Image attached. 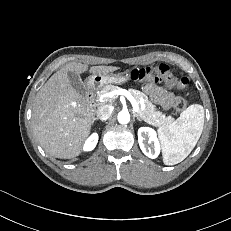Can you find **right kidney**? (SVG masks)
<instances>
[{
  "label": "right kidney",
  "instance_id": "obj_1",
  "mask_svg": "<svg viewBox=\"0 0 231 231\" xmlns=\"http://www.w3.org/2000/svg\"><path fill=\"white\" fill-rule=\"evenodd\" d=\"M98 142V134L93 133L84 143L83 150L84 151H91L95 148Z\"/></svg>",
  "mask_w": 231,
  "mask_h": 231
}]
</instances>
